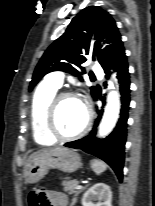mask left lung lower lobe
<instances>
[{"label":"left lung lower lobe","instance_id":"0a47b994","mask_svg":"<svg viewBox=\"0 0 155 206\" xmlns=\"http://www.w3.org/2000/svg\"><path fill=\"white\" fill-rule=\"evenodd\" d=\"M111 67L117 72L122 104L120 118L114 131L107 138L102 140L95 137L96 127L98 126V122L101 119L103 113V110H97L98 117L90 134L82 139L68 142L65 144V146L69 148L81 149L104 160L111 166L119 181L121 182L123 179V166L125 158L124 149L127 136L126 128L130 103L128 63L123 47L120 48L116 53L112 62L106 68H104L107 78L110 76ZM98 96H100V94L96 92L93 98L96 100Z\"/></svg>","mask_w":155,"mask_h":206}]
</instances>
